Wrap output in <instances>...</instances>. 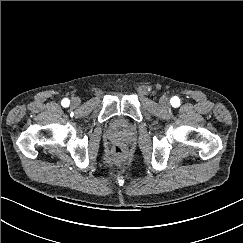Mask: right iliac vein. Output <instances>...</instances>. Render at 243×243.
<instances>
[{
	"label": "right iliac vein",
	"instance_id": "right-iliac-vein-1",
	"mask_svg": "<svg viewBox=\"0 0 243 243\" xmlns=\"http://www.w3.org/2000/svg\"><path fill=\"white\" fill-rule=\"evenodd\" d=\"M71 104H72L73 106H78V105L80 104V99H79V98H73V99L71 100Z\"/></svg>",
	"mask_w": 243,
	"mask_h": 243
}]
</instances>
